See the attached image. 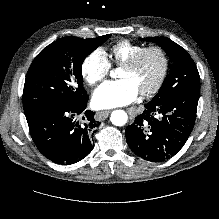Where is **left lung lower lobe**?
Here are the masks:
<instances>
[{"label": "left lung lower lobe", "instance_id": "left-lung-lower-lobe-1", "mask_svg": "<svg viewBox=\"0 0 219 219\" xmlns=\"http://www.w3.org/2000/svg\"><path fill=\"white\" fill-rule=\"evenodd\" d=\"M200 92H185L166 101H150L126 128L129 148L139 157L160 162L176 155L195 123Z\"/></svg>", "mask_w": 219, "mask_h": 219}]
</instances>
